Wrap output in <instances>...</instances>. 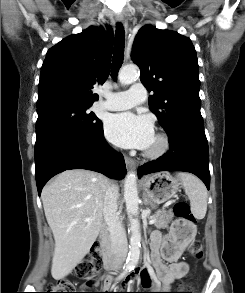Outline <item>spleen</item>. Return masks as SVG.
<instances>
[{"label": "spleen", "instance_id": "spleen-1", "mask_svg": "<svg viewBox=\"0 0 245 293\" xmlns=\"http://www.w3.org/2000/svg\"><path fill=\"white\" fill-rule=\"evenodd\" d=\"M176 177L190 200L192 214L196 219H203L207 211L208 199L205 185L196 176L189 173H179Z\"/></svg>", "mask_w": 245, "mask_h": 293}]
</instances>
